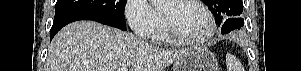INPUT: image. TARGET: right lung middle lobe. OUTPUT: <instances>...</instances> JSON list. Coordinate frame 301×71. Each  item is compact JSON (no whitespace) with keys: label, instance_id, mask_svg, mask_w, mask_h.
Masks as SVG:
<instances>
[{"label":"right lung middle lobe","instance_id":"right-lung-middle-lobe-1","mask_svg":"<svg viewBox=\"0 0 301 71\" xmlns=\"http://www.w3.org/2000/svg\"><path fill=\"white\" fill-rule=\"evenodd\" d=\"M126 0H57L54 20L76 13H99L118 21L125 27Z\"/></svg>","mask_w":301,"mask_h":71}]
</instances>
